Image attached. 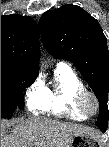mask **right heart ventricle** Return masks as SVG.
<instances>
[{
  "instance_id": "right-heart-ventricle-1",
  "label": "right heart ventricle",
  "mask_w": 109,
  "mask_h": 147,
  "mask_svg": "<svg viewBox=\"0 0 109 147\" xmlns=\"http://www.w3.org/2000/svg\"><path fill=\"white\" fill-rule=\"evenodd\" d=\"M40 86L42 98L28 102L32 112L37 114L47 112L73 121H84L88 118L75 105L77 95L85 89V86L70 67L59 65L51 82Z\"/></svg>"
}]
</instances>
